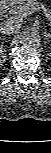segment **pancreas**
Listing matches in <instances>:
<instances>
[{
  "instance_id": "obj_1",
  "label": "pancreas",
  "mask_w": 51,
  "mask_h": 153,
  "mask_svg": "<svg viewBox=\"0 0 51 153\" xmlns=\"http://www.w3.org/2000/svg\"><path fill=\"white\" fill-rule=\"evenodd\" d=\"M38 4L39 3L37 0H25L24 2L13 6L10 9L9 13L14 17L22 18V17H24L23 14H24L25 9L28 8V9L32 10L33 8L38 7Z\"/></svg>"
}]
</instances>
